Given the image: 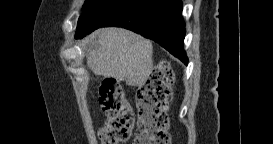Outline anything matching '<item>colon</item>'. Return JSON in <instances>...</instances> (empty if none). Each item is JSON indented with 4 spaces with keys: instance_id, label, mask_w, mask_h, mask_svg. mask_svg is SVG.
I'll return each instance as SVG.
<instances>
[{
    "instance_id": "5ec220e1",
    "label": "colon",
    "mask_w": 273,
    "mask_h": 144,
    "mask_svg": "<svg viewBox=\"0 0 273 144\" xmlns=\"http://www.w3.org/2000/svg\"><path fill=\"white\" fill-rule=\"evenodd\" d=\"M173 72L169 64L157 65L136 92L138 110L136 144H170L167 108L172 99ZM99 103L106 117L99 130L104 144L125 143L129 140L134 115L123 88L113 78L99 87Z\"/></svg>"
}]
</instances>
